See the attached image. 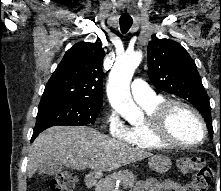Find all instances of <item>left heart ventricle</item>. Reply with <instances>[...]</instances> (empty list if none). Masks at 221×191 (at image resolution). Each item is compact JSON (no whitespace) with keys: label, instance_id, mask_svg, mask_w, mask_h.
<instances>
[{"label":"left heart ventricle","instance_id":"obj_1","mask_svg":"<svg viewBox=\"0 0 221 191\" xmlns=\"http://www.w3.org/2000/svg\"><path fill=\"white\" fill-rule=\"evenodd\" d=\"M171 128L176 139L196 143L202 138V130L193 115L185 110H177L171 119Z\"/></svg>","mask_w":221,"mask_h":191}]
</instances>
